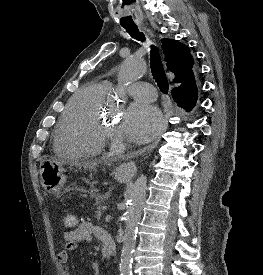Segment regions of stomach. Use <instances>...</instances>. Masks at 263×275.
I'll use <instances>...</instances> for the list:
<instances>
[{"label":"stomach","mask_w":263,"mask_h":275,"mask_svg":"<svg viewBox=\"0 0 263 275\" xmlns=\"http://www.w3.org/2000/svg\"><path fill=\"white\" fill-rule=\"evenodd\" d=\"M64 163L58 160L46 159L40 165V178L42 186L48 193L60 196L63 186L66 183L67 176L64 169ZM115 178L118 181H124L126 178L119 172H115Z\"/></svg>","instance_id":"obj_1"}]
</instances>
